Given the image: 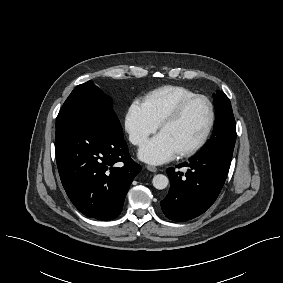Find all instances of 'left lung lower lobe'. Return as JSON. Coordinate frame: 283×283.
Returning <instances> with one entry per match:
<instances>
[{
	"instance_id": "0a47b994",
	"label": "left lung lower lobe",
	"mask_w": 283,
	"mask_h": 283,
	"mask_svg": "<svg viewBox=\"0 0 283 283\" xmlns=\"http://www.w3.org/2000/svg\"><path fill=\"white\" fill-rule=\"evenodd\" d=\"M232 157L216 151L199 152L181 173L167 169L169 193L161 201L165 216L174 221H186L204 213L217 199L229 171Z\"/></svg>"
}]
</instances>
